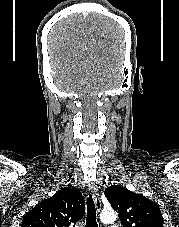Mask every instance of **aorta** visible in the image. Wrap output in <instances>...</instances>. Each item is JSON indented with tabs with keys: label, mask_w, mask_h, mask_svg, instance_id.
I'll list each match as a JSON object with an SVG mask.
<instances>
[{
	"label": "aorta",
	"mask_w": 179,
	"mask_h": 227,
	"mask_svg": "<svg viewBox=\"0 0 179 227\" xmlns=\"http://www.w3.org/2000/svg\"><path fill=\"white\" fill-rule=\"evenodd\" d=\"M103 223H113L117 219V213L113 209H105L100 214Z\"/></svg>",
	"instance_id": "762f6f07"
}]
</instances>
